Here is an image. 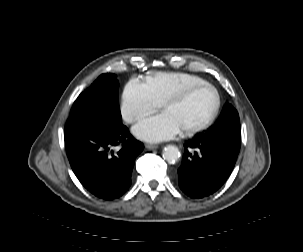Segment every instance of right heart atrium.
<instances>
[{
  "instance_id": "right-heart-atrium-1",
  "label": "right heart atrium",
  "mask_w": 303,
  "mask_h": 252,
  "mask_svg": "<svg viewBox=\"0 0 303 252\" xmlns=\"http://www.w3.org/2000/svg\"><path fill=\"white\" fill-rule=\"evenodd\" d=\"M145 84L132 78L126 85L120 102V114L126 123H133L157 109Z\"/></svg>"
}]
</instances>
